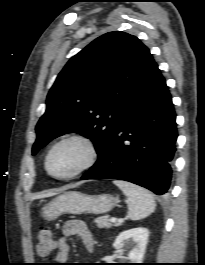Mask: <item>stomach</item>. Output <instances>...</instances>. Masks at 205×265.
<instances>
[{
	"instance_id": "1",
	"label": "stomach",
	"mask_w": 205,
	"mask_h": 265,
	"mask_svg": "<svg viewBox=\"0 0 205 265\" xmlns=\"http://www.w3.org/2000/svg\"><path fill=\"white\" fill-rule=\"evenodd\" d=\"M118 202V198L110 194L88 195L70 191L46 204L42 209V216L47 221H53L63 214H103Z\"/></svg>"
}]
</instances>
